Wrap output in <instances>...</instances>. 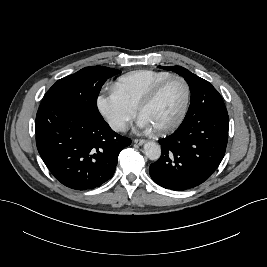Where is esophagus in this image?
I'll list each match as a JSON object with an SVG mask.
<instances>
[{
  "mask_svg": "<svg viewBox=\"0 0 267 267\" xmlns=\"http://www.w3.org/2000/svg\"><path fill=\"white\" fill-rule=\"evenodd\" d=\"M145 142L146 141L143 140V139H135L134 140V143L137 144V145H139V146L143 145Z\"/></svg>",
  "mask_w": 267,
  "mask_h": 267,
  "instance_id": "1",
  "label": "esophagus"
}]
</instances>
